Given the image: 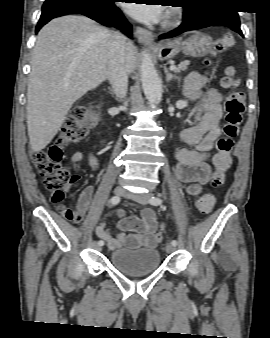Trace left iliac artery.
<instances>
[{"mask_svg":"<svg viewBox=\"0 0 270 338\" xmlns=\"http://www.w3.org/2000/svg\"><path fill=\"white\" fill-rule=\"evenodd\" d=\"M150 203H151L152 205L157 206V205H160V204L162 203V199H161V198H158V197H151V198H150ZM171 244L174 245V246H176V245H177V241H176V240H172V241H171Z\"/></svg>","mask_w":270,"mask_h":338,"instance_id":"left-iliac-artery-1","label":"left iliac artery"}]
</instances>
